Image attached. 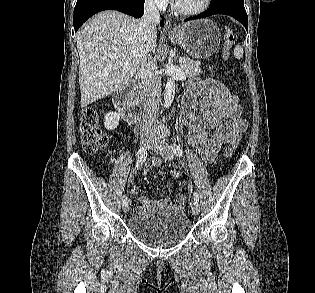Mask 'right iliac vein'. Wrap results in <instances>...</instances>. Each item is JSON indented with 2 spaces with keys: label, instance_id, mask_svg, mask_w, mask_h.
<instances>
[{
  "label": "right iliac vein",
  "instance_id": "obj_1",
  "mask_svg": "<svg viewBox=\"0 0 315 293\" xmlns=\"http://www.w3.org/2000/svg\"><path fill=\"white\" fill-rule=\"evenodd\" d=\"M151 142H152L151 137L149 136L142 137L140 141L141 148H147L148 146H150ZM130 207H131V200H127L123 202L122 209L125 213L129 211Z\"/></svg>",
  "mask_w": 315,
  "mask_h": 293
}]
</instances>
